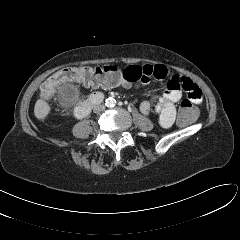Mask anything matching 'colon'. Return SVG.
<instances>
[{"label":"colon","instance_id":"1","mask_svg":"<svg viewBox=\"0 0 240 240\" xmlns=\"http://www.w3.org/2000/svg\"><path fill=\"white\" fill-rule=\"evenodd\" d=\"M123 78V72L115 65L104 66H70L51 75L41 86V95L45 99L53 97L56 88L69 81L82 82L88 86L110 85L116 86ZM197 110L194 103L185 99L181 102L178 122L188 125L195 121Z\"/></svg>","mask_w":240,"mask_h":240}]
</instances>
